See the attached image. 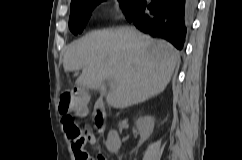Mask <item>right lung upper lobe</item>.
Returning a JSON list of instances; mask_svg holds the SVG:
<instances>
[{
	"instance_id": "cb5924a9",
	"label": "right lung upper lobe",
	"mask_w": 242,
	"mask_h": 160,
	"mask_svg": "<svg viewBox=\"0 0 242 160\" xmlns=\"http://www.w3.org/2000/svg\"><path fill=\"white\" fill-rule=\"evenodd\" d=\"M76 1H79V0H71V3L76 2Z\"/></svg>"
}]
</instances>
